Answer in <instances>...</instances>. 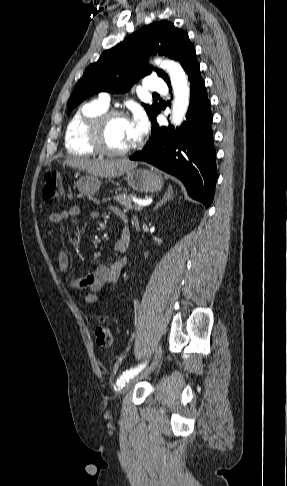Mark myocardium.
<instances>
[{"instance_id":"myocardium-1","label":"myocardium","mask_w":287,"mask_h":486,"mask_svg":"<svg viewBox=\"0 0 287 486\" xmlns=\"http://www.w3.org/2000/svg\"><path fill=\"white\" fill-rule=\"evenodd\" d=\"M115 119H127V115L118 109H108L89 123L87 141L96 153L110 157H119L129 154L135 149L134 143L120 150L112 149L107 145L105 134L108 126Z\"/></svg>"}]
</instances>
